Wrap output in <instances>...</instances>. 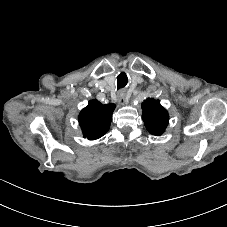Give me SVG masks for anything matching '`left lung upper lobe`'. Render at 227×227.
Listing matches in <instances>:
<instances>
[{"mask_svg":"<svg viewBox=\"0 0 227 227\" xmlns=\"http://www.w3.org/2000/svg\"><path fill=\"white\" fill-rule=\"evenodd\" d=\"M142 119L147 130L154 135H161L169 123L168 112L161 106L159 100L147 98L142 103Z\"/></svg>","mask_w":227,"mask_h":227,"instance_id":"left-lung-upper-lobe-1","label":"left lung upper lobe"}]
</instances>
